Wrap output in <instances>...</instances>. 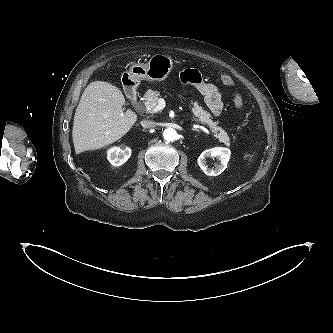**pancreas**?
Masks as SVG:
<instances>
[{
	"instance_id": "cf45deb5",
	"label": "pancreas",
	"mask_w": 333,
	"mask_h": 333,
	"mask_svg": "<svg viewBox=\"0 0 333 333\" xmlns=\"http://www.w3.org/2000/svg\"><path fill=\"white\" fill-rule=\"evenodd\" d=\"M144 97L146 99V101L144 102L146 111L153 112V110L158 104L160 92L149 89L145 93ZM191 104L193 105L191 108L193 114L199 118L201 123L208 125L211 128L212 132L216 134V138H218L221 143H224L226 146H230L229 136L221 127L217 126L216 122H213L211 120V115L206 112L201 106H199L198 102L191 101L190 107Z\"/></svg>"
}]
</instances>
